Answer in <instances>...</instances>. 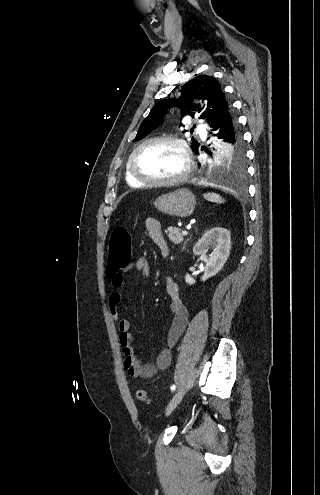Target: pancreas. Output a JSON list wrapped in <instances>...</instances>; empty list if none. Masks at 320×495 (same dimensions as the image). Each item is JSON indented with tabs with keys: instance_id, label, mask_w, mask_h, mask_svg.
<instances>
[{
	"instance_id": "pancreas-1",
	"label": "pancreas",
	"mask_w": 320,
	"mask_h": 495,
	"mask_svg": "<svg viewBox=\"0 0 320 495\" xmlns=\"http://www.w3.org/2000/svg\"><path fill=\"white\" fill-rule=\"evenodd\" d=\"M165 232L174 244H180L183 241V235L178 227H168Z\"/></svg>"
}]
</instances>
